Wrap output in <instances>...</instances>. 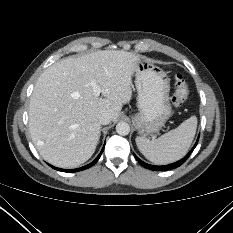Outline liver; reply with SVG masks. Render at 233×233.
Masks as SVG:
<instances>
[{
	"instance_id": "liver-1",
	"label": "liver",
	"mask_w": 233,
	"mask_h": 233,
	"mask_svg": "<svg viewBox=\"0 0 233 233\" xmlns=\"http://www.w3.org/2000/svg\"><path fill=\"white\" fill-rule=\"evenodd\" d=\"M139 56L103 50L62 59L38 78L30 99L29 130L44 160L75 168L94 153L100 137V113L115 121L132 97V74ZM91 81L104 98L95 96Z\"/></svg>"
}]
</instances>
